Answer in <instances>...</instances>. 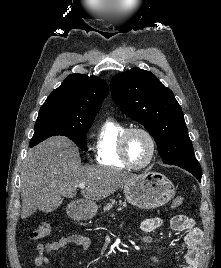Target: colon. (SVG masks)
<instances>
[{
	"label": "colon",
	"instance_id": "obj_1",
	"mask_svg": "<svg viewBox=\"0 0 221 268\" xmlns=\"http://www.w3.org/2000/svg\"><path fill=\"white\" fill-rule=\"evenodd\" d=\"M183 202L184 198L182 196H178L173 199L172 207L178 208L183 204ZM50 233H51V226L47 223H42L32 231V233L30 234V238L32 240H39L41 238L48 236Z\"/></svg>",
	"mask_w": 221,
	"mask_h": 268
}]
</instances>
